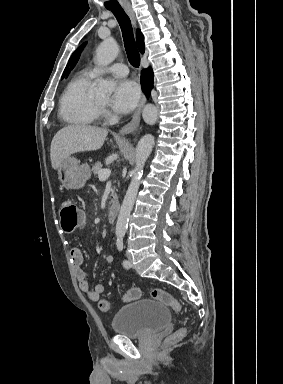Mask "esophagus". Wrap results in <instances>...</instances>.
<instances>
[{
	"label": "esophagus",
	"instance_id": "obj_1",
	"mask_svg": "<svg viewBox=\"0 0 283 384\" xmlns=\"http://www.w3.org/2000/svg\"><path fill=\"white\" fill-rule=\"evenodd\" d=\"M124 8L127 14L129 15V18L132 24L134 25V27H136V18H135L134 10L132 9L131 6H124ZM145 103H146V97L145 95H142L141 99L139 100L138 106L132 116L131 121L120 129V132H119L120 135L129 134L130 132L135 131L139 127L140 120H141V111Z\"/></svg>",
	"mask_w": 283,
	"mask_h": 384
}]
</instances>
